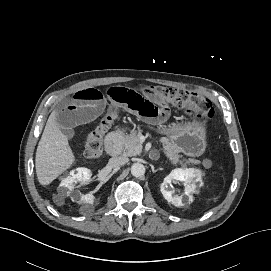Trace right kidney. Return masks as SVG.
Instances as JSON below:
<instances>
[{"label": "right kidney", "mask_w": 271, "mask_h": 271, "mask_svg": "<svg viewBox=\"0 0 271 271\" xmlns=\"http://www.w3.org/2000/svg\"><path fill=\"white\" fill-rule=\"evenodd\" d=\"M91 176L92 173L89 169L84 167L76 168L70 172L69 176L61 181L59 190L66 196H70L72 200L78 203L93 204L95 197L92 194L83 195L74 190L77 182H88Z\"/></svg>", "instance_id": "right-kidney-1"}]
</instances>
